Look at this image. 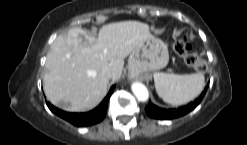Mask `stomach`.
Wrapping results in <instances>:
<instances>
[{"mask_svg":"<svg viewBox=\"0 0 247 145\" xmlns=\"http://www.w3.org/2000/svg\"><path fill=\"white\" fill-rule=\"evenodd\" d=\"M168 61L167 45L162 40L151 37L131 52L128 68L132 75H143L164 68Z\"/></svg>","mask_w":247,"mask_h":145,"instance_id":"0dacf381","label":"stomach"}]
</instances>
